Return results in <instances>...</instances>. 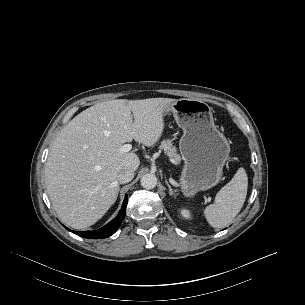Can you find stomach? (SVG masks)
<instances>
[{
	"label": "stomach",
	"instance_id": "obj_1",
	"mask_svg": "<svg viewBox=\"0 0 305 305\" xmlns=\"http://www.w3.org/2000/svg\"><path fill=\"white\" fill-rule=\"evenodd\" d=\"M169 112L183 130L179 142L184 160L180 175L181 191L186 197H193L219 183L230 145L216 128L212 109L204 101L179 99L167 107L165 113Z\"/></svg>",
	"mask_w": 305,
	"mask_h": 305
}]
</instances>
